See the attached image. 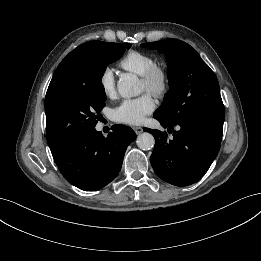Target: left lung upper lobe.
<instances>
[{
  "instance_id": "left-lung-upper-lobe-1",
  "label": "left lung upper lobe",
  "mask_w": 261,
  "mask_h": 261,
  "mask_svg": "<svg viewBox=\"0 0 261 261\" xmlns=\"http://www.w3.org/2000/svg\"><path fill=\"white\" fill-rule=\"evenodd\" d=\"M142 46L164 53L168 61L170 90L154 117L171 124L198 118L224 117L218 80L190 45L169 39L144 43Z\"/></svg>"
}]
</instances>
